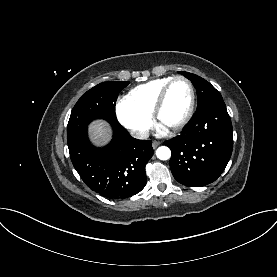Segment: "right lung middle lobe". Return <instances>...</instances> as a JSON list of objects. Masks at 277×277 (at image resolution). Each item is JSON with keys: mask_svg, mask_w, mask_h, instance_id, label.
Listing matches in <instances>:
<instances>
[{"mask_svg": "<svg viewBox=\"0 0 277 277\" xmlns=\"http://www.w3.org/2000/svg\"><path fill=\"white\" fill-rule=\"evenodd\" d=\"M129 84L103 82L84 93L75 104L67 126V140L87 128L95 119H104L110 124L119 123L115 114V102L119 92Z\"/></svg>", "mask_w": 277, "mask_h": 277, "instance_id": "obj_1", "label": "right lung middle lobe"}]
</instances>
